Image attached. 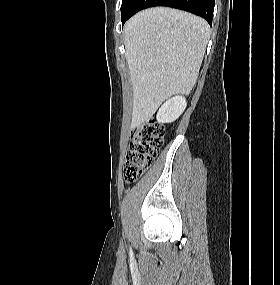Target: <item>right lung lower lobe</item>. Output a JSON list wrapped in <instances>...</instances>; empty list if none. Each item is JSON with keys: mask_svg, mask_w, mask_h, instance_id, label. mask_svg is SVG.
Segmentation results:
<instances>
[{"mask_svg": "<svg viewBox=\"0 0 280 285\" xmlns=\"http://www.w3.org/2000/svg\"><path fill=\"white\" fill-rule=\"evenodd\" d=\"M215 0H138L134 10L129 16L121 19L122 24L125 23L132 15L138 11L153 6H168L185 10L203 17L210 25H212V17L214 11Z\"/></svg>", "mask_w": 280, "mask_h": 285, "instance_id": "obj_1", "label": "right lung lower lobe"}]
</instances>
